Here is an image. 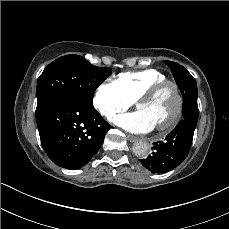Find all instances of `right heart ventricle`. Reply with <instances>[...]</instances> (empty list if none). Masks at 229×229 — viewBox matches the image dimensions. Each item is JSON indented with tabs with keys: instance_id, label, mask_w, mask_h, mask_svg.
<instances>
[{
	"instance_id": "1",
	"label": "right heart ventricle",
	"mask_w": 229,
	"mask_h": 229,
	"mask_svg": "<svg viewBox=\"0 0 229 229\" xmlns=\"http://www.w3.org/2000/svg\"><path fill=\"white\" fill-rule=\"evenodd\" d=\"M165 73L157 69H144L119 74L117 83L132 101L141 98L148 89L167 80Z\"/></svg>"
}]
</instances>
